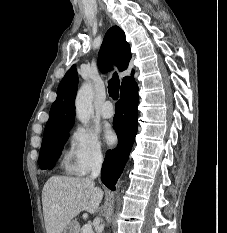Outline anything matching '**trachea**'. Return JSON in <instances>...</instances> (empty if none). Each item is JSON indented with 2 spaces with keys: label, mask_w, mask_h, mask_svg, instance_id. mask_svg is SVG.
I'll return each mask as SVG.
<instances>
[{
  "label": "trachea",
  "mask_w": 227,
  "mask_h": 233,
  "mask_svg": "<svg viewBox=\"0 0 227 233\" xmlns=\"http://www.w3.org/2000/svg\"><path fill=\"white\" fill-rule=\"evenodd\" d=\"M119 87H120V80L118 74L115 72L113 77L108 82V92L109 95L114 99L117 100L119 97Z\"/></svg>",
  "instance_id": "1"
}]
</instances>
